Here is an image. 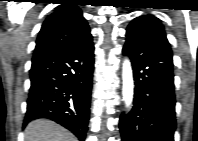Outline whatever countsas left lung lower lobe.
Wrapping results in <instances>:
<instances>
[{
	"instance_id": "0a47b994",
	"label": "left lung lower lobe",
	"mask_w": 198,
	"mask_h": 141,
	"mask_svg": "<svg viewBox=\"0 0 198 141\" xmlns=\"http://www.w3.org/2000/svg\"><path fill=\"white\" fill-rule=\"evenodd\" d=\"M126 37L123 52L131 60L135 89L131 111L120 118L122 141H174L176 100L170 45Z\"/></svg>"
}]
</instances>
